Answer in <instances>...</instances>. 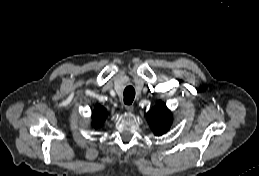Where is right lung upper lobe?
I'll return each instance as SVG.
<instances>
[{"mask_svg": "<svg viewBox=\"0 0 259 176\" xmlns=\"http://www.w3.org/2000/svg\"><path fill=\"white\" fill-rule=\"evenodd\" d=\"M106 118H107L106 109L103 106L96 105L92 113L93 126L95 128L101 126V124L105 121Z\"/></svg>", "mask_w": 259, "mask_h": 176, "instance_id": "cb5924a9", "label": "right lung upper lobe"}]
</instances>
